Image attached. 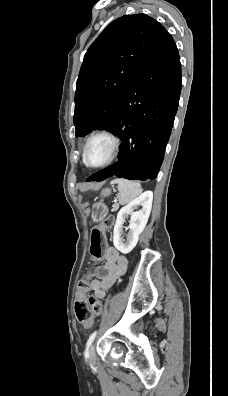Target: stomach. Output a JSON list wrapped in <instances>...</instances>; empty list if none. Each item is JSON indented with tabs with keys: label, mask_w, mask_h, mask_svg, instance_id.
Segmentation results:
<instances>
[{
	"label": "stomach",
	"mask_w": 228,
	"mask_h": 396,
	"mask_svg": "<svg viewBox=\"0 0 228 396\" xmlns=\"http://www.w3.org/2000/svg\"><path fill=\"white\" fill-rule=\"evenodd\" d=\"M111 194V190L104 189L101 192L102 197H107ZM108 214V208L103 202H98L94 204L93 211H92V219L95 222H99Z\"/></svg>",
	"instance_id": "0dacf381"
}]
</instances>
